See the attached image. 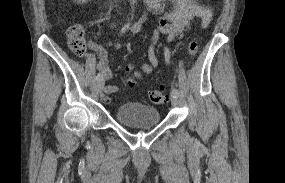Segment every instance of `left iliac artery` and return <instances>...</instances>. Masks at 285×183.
<instances>
[{"label": "left iliac artery", "mask_w": 285, "mask_h": 183, "mask_svg": "<svg viewBox=\"0 0 285 183\" xmlns=\"http://www.w3.org/2000/svg\"><path fill=\"white\" fill-rule=\"evenodd\" d=\"M164 54H165V59H166V62H169V59H170V51H169V49L166 47L165 48V51H164ZM172 92V94H174V95H176V96H179V91L176 89V88H172V90H171Z\"/></svg>", "instance_id": "1"}]
</instances>
